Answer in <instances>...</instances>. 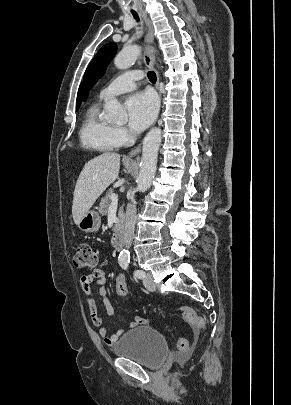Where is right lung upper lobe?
<instances>
[{
    "label": "right lung upper lobe",
    "mask_w": 291,
    "mask_h": 405,
    "mask_svg": "<svg viewBox=\"0 0 291 405\" xmlns=\"http://www.w3.org/2000/svg\"><path fill=\"white\" fill-rule=\"evenodd\" d=\"M81 91H82V85H80L78 94H77V108H79V106L81 104Z\"/></svg>",
    "instance_id": "right-lung-upper-lobe-1"
}]
</instances>
